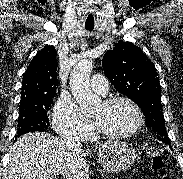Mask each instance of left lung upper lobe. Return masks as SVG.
<instances>
[{"label": "left lung upper lobe", "mask_w": 183, "mask_h": 179, "mask_svg": "<svg viewBox=\"0 0 183 179\" xmlns=\"http://www.w3.org/2000/svg\"><path fill=\"white\" fill-rule=\"evenodd\" d=\"M107 78L122 94L143 111L148 127L170 144L161 105V90L156 69L146 54L131 42L120 41L102 60Z\"/></svg>", "instance_id": "left-lung-upper-lobe-1"}]
</instances>
